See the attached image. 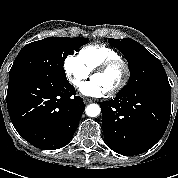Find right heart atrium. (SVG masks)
Listing matches in <instances>:
<instances>
[{"label": "right heart atrium", "instance_id": "1", "mask_svg": "<svg viewBox=\"0 0 178 178\" xmlns=\"http://www.w3.org/2000/svg\"><path fill=\"white\" fill-rule=\"evenodd\" d=\"M67 80L75 87L80 86L90 75L79 56L68 55L63 63Z\"/></svg>", "mask_w": 178, "mask_h": 178}]
</instances>
